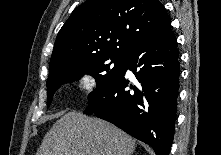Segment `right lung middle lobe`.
Wrapping results in <instances>:
<instances>
[{
  "label": "right lung middle lobe",
  "mask_w": 221,
  "mask_h": 155,
  "mask_svg": "<svg viewBox=\"0 0 221 155\" xmlns=\"http://www.w3.org/2000/svg\"><path fill=\"white\" fill-rule=\"evenodd\" d=\"M125 60L126 57H107L79 61L49 74L47 105H50L54 93L62 84L73 82L85 74L93 76L97 82L96 90L89 95V102H91L116 80L122 71Z\"/></svg>",
  "instance_id": "1"
}]
</instances>
